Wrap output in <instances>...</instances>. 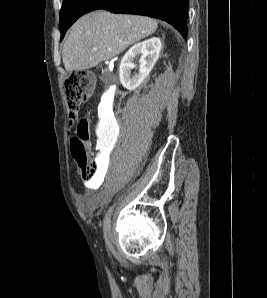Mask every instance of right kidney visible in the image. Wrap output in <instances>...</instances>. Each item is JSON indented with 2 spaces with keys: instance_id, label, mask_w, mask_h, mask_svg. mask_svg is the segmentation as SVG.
I'll list each match as a JSON object with an SVG mask.
<instances>
[{
  "instance_id": "obj_1",
  "label": "right kidney",
  "mask_w": 267,
  "mask_h": 298,
  "mask_svg": "<svg viewBox=\"0 0 267 298\" xmlns=\"http://www.w3.org/2000/svg\"><path fill=\"white\" fill-rule=\"evenodd\" d=\"M161 47V40L157 37H152L135 44L128 50L123 56L119 68L120 82L124 88L132 91L142 83L157 62ZM138 55H141L139 73L131 77V70L135 68L133 61Z\"/></svg>"
}]
</instances>
